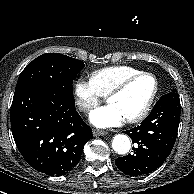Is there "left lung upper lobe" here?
<instances>
[{"mask_svg":"<svg viewBox=\"0 0 194 194\" xmlns=\"http://www.w3.org/2000/svg\"><path fill=\"white\" fill-rule=\"evenodd\" d=\"M172 93H177V91L175 89L172 90Z\"/></svg>","mask_w":194,"mask_h":194,"instance_id":"1","label":"left lung upper lobe"}]
</instances>
